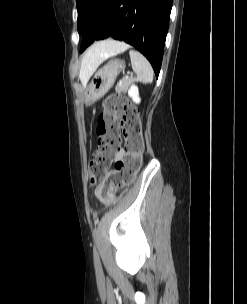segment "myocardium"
<instances>
[{
	"label": "myocardium",
	"mask_w": 247,
	"mask_h": 304,
	"mask_svg": "<svg viewBox=\"0 0 247 304\" xmlns=\"http://www.w3.org/2000/svg\"><path fill=\"white\" fill-rule=\"evenodd\" d=\"M101 5V1H97L96 3H95V5H94V8H97V7H99Z\"/></svg>",
	"instance_id": "f54148a6"
}]
</instances>
